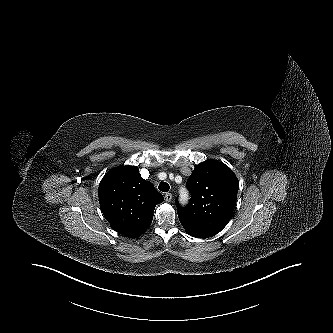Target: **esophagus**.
I'll list each match as a JSON object with an SVG mask.
<instances>
[{
	"label": "esophagus",
	"instance_id": "obj_1",
	"mask_svg": "<svg viewBox=\"0 0 333 333\" xmlns=\"http://www.w3.org/2000/svg\"><path fill=\"white\" fill-rule=\"evenodd\" d=\"M165 200H166L167 202H170V201L172 200V194H171V193H166V194H165Z\"/></svg>",
	"mask_w": 333,
	"mask_h": 333
}]
</instances>
